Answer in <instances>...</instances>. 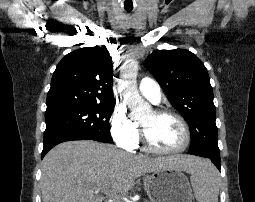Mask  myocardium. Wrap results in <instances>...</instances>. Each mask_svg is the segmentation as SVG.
<instances>
[{
	"instance_id": "myocardium-1",
	"label": "myocardium",
	"mask_w": 255,
	"mask_h": 202,
	"mask_svg": "<svg viewBox=\"0 0 255 202\" xmlns=\"http://www.w3.org/2000/svg\"><path fill=\"white\" fill-rule=\"evenodd\" d=\"M153 112L156 116H171L176 118L183 128L184 142L180 147L176 149H172V150L159 149L152 144V142L149 139L146 127L142 123H140L141 138H142V142L144 144L145 149L151 153L160 154V155H174V154H178L185 151L189 147L191 142V132L185 118L179 113H177L176 111H173L171 109H155L153 110Z\"/></svg>"
}]
</instances>
